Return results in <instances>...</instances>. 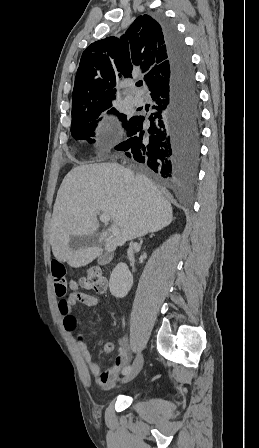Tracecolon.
Segmentation results:
<instances>
[{
    "label": "colon",
    "mask_w": 259,
    "mask_h": 448,
    "mask_svg": "<svg viewBox=\"0 0 259 448\" xmlns=\"http://www.w3.org/2000/svg\"><path fill=\"white\" fill-rule=\"evenodd\" d=\"M81 285L86 290L103 293L107 288V281L98 268L90 267L85 271Z\"/></svg>",
    "instance_id": "colon-1"
}]
</instances>
